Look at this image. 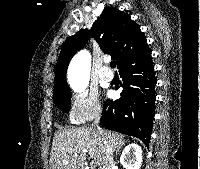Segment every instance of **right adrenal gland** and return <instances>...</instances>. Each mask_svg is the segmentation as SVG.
Masks as SVG:
<instances>
[{
	"mask_svg": "<svg viewBox=\"0 0 200 169\" xmlns=\"http://www.w3.org/2000/svg\"><path fill=\"white\" fill-rule=\"evenodd\" d=\"M120 153V149L116 150V156Z\"/></svg>",
	"mask_w": 200,
	"mask_h": 169,
	"instance_id": "1",
	"label": "right adrenal gland"
}]
</instances>
